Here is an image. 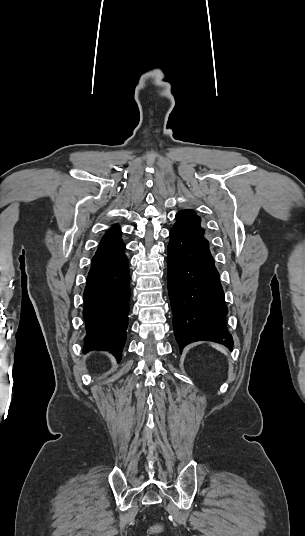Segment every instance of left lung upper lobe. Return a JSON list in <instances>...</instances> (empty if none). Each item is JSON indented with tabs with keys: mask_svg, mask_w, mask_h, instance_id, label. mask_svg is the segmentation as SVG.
Segmentation results:
<instances>
[{
	"mask_svg": "<svg viewBox=\"0 0 305 536\" xmlns=\"http://www.w3.org/2000/svg\"><path fill=\"white\" fill-rule=\"evenodd\" d=\"M201 219L191 210H181L176 214V223L173 228L191 236L205 239L204 229L200 226Z\"/></svg>",
	"mask_w": 305,
	"mask_h": 536,
	"instance_id": "left-lung-upper-lobe-1",
	"label": "left lung upper lobe"
}]
</instances>
